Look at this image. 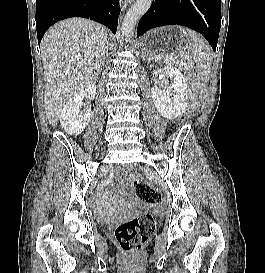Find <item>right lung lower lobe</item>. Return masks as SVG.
<instances>
[{"label": "right lung lower lobe", "instance_id": "obj_1", "mask_svg": "<svg viewBox=\"0 0 265 273\" xmlns=\"http://www.w3.org/2000/svg\"><path fill=\"white\" fill-rule=\"evenodd\" d=\"M119 14V0H36L38 43L51 25L69 17L90 18L116 33Z\"/></svg>", "mask_w": 265, "mask_h": 273}]
</instances>
